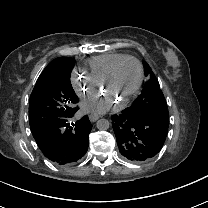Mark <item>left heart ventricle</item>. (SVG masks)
<instances>
[{
	"mask_svg": "<svg viewBox=\"0 0 208 208\" xmlns=\"http://www.w3.org/2000/svg\"><path fill=\"white\" fill-rule=\"evenodd\" d=\"M138 67L132 60L123 61L116 70L113 80L105 86L107 93L102 97L107 101L125 98L137 84Z\"/></svg>",
	"mask_w": 208,
	"mask_h": 208,
	"instance_id": "b2bd125f",
	"label": "left heart ventricle"
}]
</instances>
